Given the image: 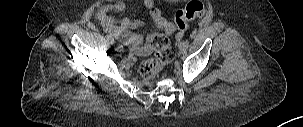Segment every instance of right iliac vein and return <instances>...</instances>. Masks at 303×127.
Here are the masks:
<instances>
[{
    "label": "right iliac vein",
    "mask_w": 303,
    "mask_h": 127,
    "mask_svg": "<svg viewBox=\"0 0 303 127\" xmlns=\"http://www.w3.org/2000/svg\"><path fill=\"white\" fill-rule=\"evenodd\" d=\"M114 47H115L116 51H118L120 53L124 52V49H123V47L121 45H114Z\"/></svg>",
    "instance_id": "right-iliac-vein-1"
}]
</instances>
